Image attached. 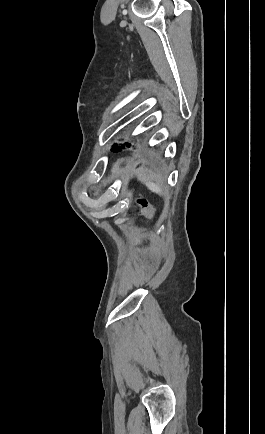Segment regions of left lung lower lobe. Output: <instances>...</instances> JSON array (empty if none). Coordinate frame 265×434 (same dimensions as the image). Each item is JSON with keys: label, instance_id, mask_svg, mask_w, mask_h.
<instances>
[{"label": "left lung lower lobe", "instance_id": "1", "mask_svg": "<svg viewBox=\"0 0 265 434\" xmlns=\"http://www.w3.org/2000/svg\"><path fill=\"white\" fill-rule=\"evenodd\" d=\"M121 149H124V146H123V147H120V148H117V149H113L112 151H113V152H118V151H121Z\"/></svg>", "mask_w": 265, "mask_h": 434}]
</instances>
